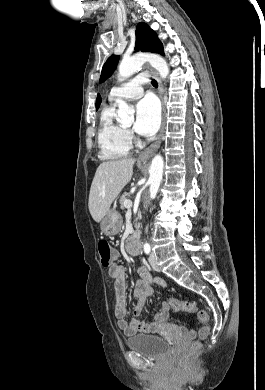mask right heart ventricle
<instances>
[{"label": "right heart ventricle", "instance_id": "right-heart-ventricle-1", "mask_svg": "<svg viewBox=\"0 0 265 390\" xmlns=\"http://www.w3.org/2000/svg\"><path fill=\"white\" fill-rule=\"evenodd\" d=\"M99 157L103 160H117L128 156L131 141L126 129L115 121L112 103L105 106L100 114L98 130Z\"/></svg>", "mask_w": 265, "mask_h": 390}]
</instances>
